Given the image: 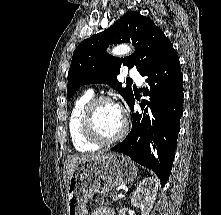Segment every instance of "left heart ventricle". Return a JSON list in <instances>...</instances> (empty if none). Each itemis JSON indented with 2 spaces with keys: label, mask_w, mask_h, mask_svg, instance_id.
I'll return each mask as SVG.
<instances>
[{
  "label": "left heart ventricle",
  "mask_w": 221,
  "mask_h": 215,
  "mask_svg": "<svg viewBox=\"0 0 221 215\" xmlns=\"http://www.w3.org/2000/svg\"><path fill=\"white\" fill-rule=\"evenodd\" d=\"M123 124V118L117 113L114 104H100L95 111V126L104 137L116 135Z\"/></svg>",
  "instance_id": "left-heart-ventricle-1"
}]
</instances>
